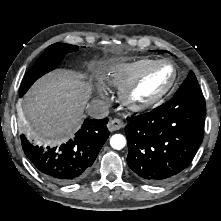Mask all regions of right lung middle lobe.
I'll use <instances>...</instances> for the list:
<instances>
[{
  "mask_svg": "<svg viewBox=\"0 0 221 221\" xmlns=\"http://www.w3.org/2000/svg\"><path fill=\"white\" fill-rule=\"evenodd\" d=\"M76 50H78V46L75 45L64 43L50 45L25 75L20 87V96L29 89L35 80L45 73L55 69L66 53Z\"/></svg>",
  "mask_w": 221,
  "mask_h": 221,
  "instance_id": "right-lung-middle-lobe-1",
  "label": "right lung middle lobe"
}]
</instances>
